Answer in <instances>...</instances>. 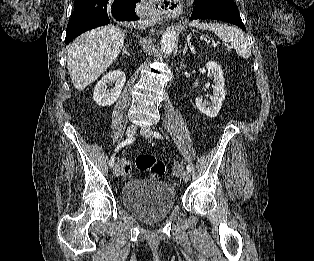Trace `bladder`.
<instances>
[{"instance_id": "obj_1", "label": "bladder", "mask_w": 314, "mask_h": 261, "mask_svg": "<svg viewBox=\"0 0 314 261\" xmlns=\"http://www.w3.org/2000/svg\"><path fill=\"white\" fill-rule=\"evenodd\" d=\"M124 207L146 222L161 221L176 204L175 187L164 181L131 180L121 193Z\"/></svg>"}]
</instances>
